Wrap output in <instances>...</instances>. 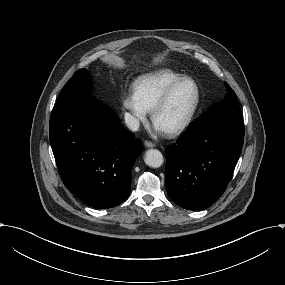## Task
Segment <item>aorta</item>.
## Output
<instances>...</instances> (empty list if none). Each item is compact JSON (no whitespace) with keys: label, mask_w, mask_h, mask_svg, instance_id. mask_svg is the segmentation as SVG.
<instances>
[{"label":"aorta","mask_w":285,"mask_h":285,"mask_svg":"<svg viewBox=\"0 0 285 285\" xmlns=\"http://www.w3.org/2000/svg\"><path fill=\"white\" fill-rule=\"evenodd\" d=\"M144 161L149 167L159 168L162 166L164 159L162 153L159 150L150 149L146 151Z\"/></svg>","instance_id":"aorta-1"}]
</instances>
